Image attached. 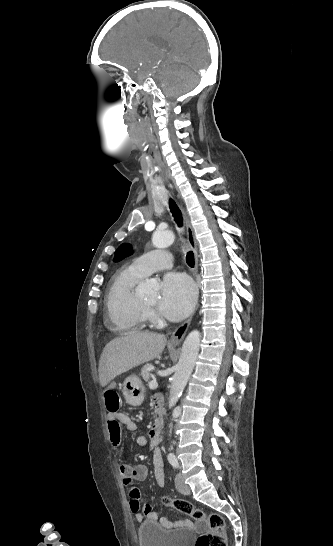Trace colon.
Here are the masks:
<instances>
[{
  "instance_id": "5ec220e1",
  "label": "colon",
  "mask_w": 333,
  "mask_h": 546,
  "mask_svg": "<svg viewBox=\"0 0 333 546\" xmlns=\"http://www.w3.org/2000/svg\"><path fill=\"white\" fill-rule=\"evenodd\" d=\"M105 404L108 411L113 414L116 413L120 408L119 394L114 390L111 393H105ZM116 437L117 439L120 437L119 429ZM163 502L166 506L172 507L182 514L207 522L208 530L197 538L195 546H227L225 522L221 515L217 513L206 514L189 501L183 499L170 500L165 498Z\"/></svg>"
}]
</instances>
